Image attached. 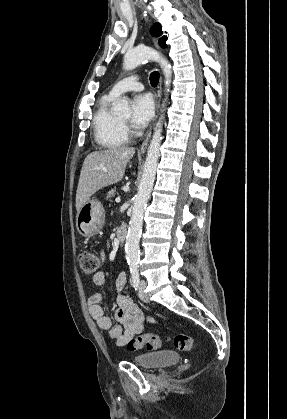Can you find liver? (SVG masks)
<instances>
[{"instance_id": "obj_1", "label": "liver", "mask_w": 287, "mask_h": 419, "mask_svg": "<svg viewBox=\"0 0 287 419\" xmlns=\"http://www.w3.org/2000/svg\"><path fill=\"white\" fill-rule=\"evenodd\" d=\"M134 148L118 147L91 152L84 160L76 192L77 212L97 191L122 180Z\"/></svg>"}]
</instances>
